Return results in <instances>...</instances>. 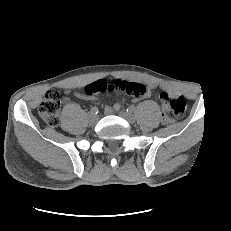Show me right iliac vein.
Here are the masks:
<instances>
[{"instance_id":"63e3f726","label":"right iliac vein","mask_w":231,"mask_h":231,"mask_svg":"<svg viewBox=\"0 0 231 231\" xmlns=\"http://www.w3.org/2000/svg\"><path fill=\"white\" fill-rule=\"evenodd\" d=\"M98 116L97 115H94V114H90L89 115V123L91 124V125H94V124H96V122L98 121Z\"/></svg>"}]
</instances>
